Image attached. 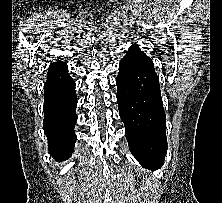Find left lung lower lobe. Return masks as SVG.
Segmentation results:
<instances>
[{
    "label": "left lung lower lobe",
    "mask_w": 222,
    "mask_h": 203,
    "mask_svg": "<svg viewBox=\"0 0 222 203\" xmlns=\"http://www.w3.org/2000/svg\"><path fill=\"white\" fill-rule=\"evenodd\" d=\"M119 114L129 149L148 169H159L167 152L166 117L152 60L132 45L116 78Z\"/></svg>",
    "instance_id": "1"
}]
</instances>
